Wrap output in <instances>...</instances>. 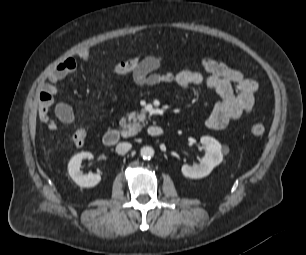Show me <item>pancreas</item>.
<instances>
[{"mask_svg":"<svg viewBox=\"0 0 306 255\" xmlns=\"http://www.w3.org/2000/svg\"><path fill=\"white\" fill-rule=\"evenodd\" d=\"M146 123V117L144 113H138V112H131L127 114L126 117H123L119 124L123 128L122 129V136L123 137H129L136 135L141 128Z\"/></svg>","mask_w":306,"mask_h":255,"instance_id":"pancreas-1","label":"pancreas"}]
</instances>
